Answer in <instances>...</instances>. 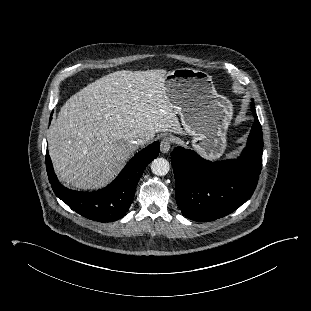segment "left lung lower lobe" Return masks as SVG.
I'll use <instances>...</instances> for the list:
<instances>
[{
  "mask_svg": "<svg viewBox=\"0 0 311 311\" xmlns=\"http://www.w3.org/2000/svg\"><path fill=\"white\" fill-rule=\"evenodd\" d=\"M247 146L238 159L211 162L176 147L171 154L175 195L184 216L199 221L224 217L248 200L262 166L263 135L256 112Z\"/></svg>",
  "mask_w": 311,
  "mask_h": 311,
  "instance_id": "1",
  "label": "left lung lower lobe"
}]
</instances>
